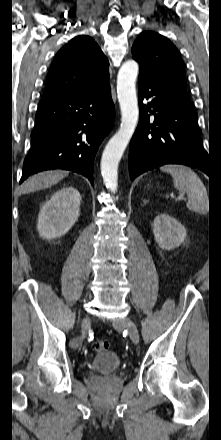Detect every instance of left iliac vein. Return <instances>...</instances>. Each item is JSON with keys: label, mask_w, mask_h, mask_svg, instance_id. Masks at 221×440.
I'll return each mask as SVG.
<instances>
[{"label": "left iliac vein", "mask_w": 221, "mask_h": 440, "mask_svg": "<svg viewBox=\"0 0 221 440\" xmlns=\"http://www.w3.org/2000/svg\"><path fill=\"white\" fill-rule=\"evenodd\" d=\"M115 328H125L134 343L139 342V333L135 323L128 317L118 318L113 321Z\"/></svg>", "instance_id": "left-iliac-vein-1"}]
</instances>
